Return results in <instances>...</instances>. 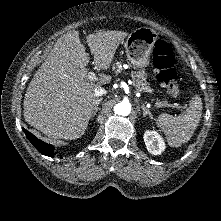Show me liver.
I'll list each match as a JSON object with an SVG mask.
<instances>
[{
  "label": "liver",
  "mask_w": 221,
  "mask_h": 221,
  "mask_svg": "<svg viewBox=\"0 0 221 221\" xmlns=\"http://www.w3.org/2000/svg\"><path fill=\"white\" fill-rule=\"evenodd\" d=\"M129 34L101 31L88 34L86 42L94 63L107 70L116 50ZM88 54L78 31L62 35L34 74L24 97L25 121L54 139L73 140L87 129L96 107L94 90L111 81L101 75L97 83L87 77Z\"/></svg>",
  "instance_id": "6515ba94"
}]
</instances>
